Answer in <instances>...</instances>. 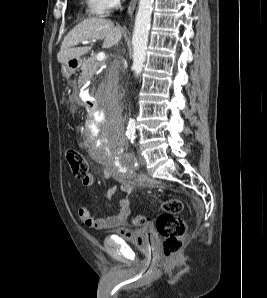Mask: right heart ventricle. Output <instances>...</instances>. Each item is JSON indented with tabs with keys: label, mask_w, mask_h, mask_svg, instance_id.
Segmentation results:
<instances>
[{
	"label": "right heart ventricle",
	"mask_w": 267,
	"mask_h": 298,
	"mask_svg": "<svg viewBox=\"0 0 267 298\" xmlns=\"http://www.w3.org/2000/svg\"><path fill=\"white\" fill-rule=\"evenodd\" d=\"M85 1V12L88 16L98 17L102 15L99 0H84Z\"/></svg>",
	"instance_id": "right-heart-ventricle-1"
}]
</instances>
